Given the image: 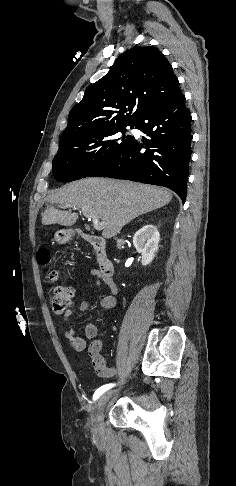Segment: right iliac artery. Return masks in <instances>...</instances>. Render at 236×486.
<instances>
[{
    "mask_svg": "<svg viewBox=\"0 0 236 486\" xmlns=\"http://www.w3.org/2000/svg\"><path fill=\"white\" fill-rule=\"evenodd\" d=\"M115 384H106L100 387L99 389L96 390L93 396V400L96 401L105 391L109 390L112 388Z\"/></svg>",
    "mask_w": 236,
    "mask_h": 486,
    "instance_id": "obj_1",
    "label": "right iliac artery"
}]
</instances>
